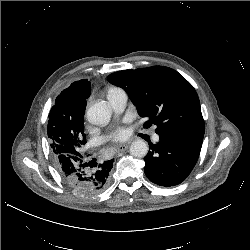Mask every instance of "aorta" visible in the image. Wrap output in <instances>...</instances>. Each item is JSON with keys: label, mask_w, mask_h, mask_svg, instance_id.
I'll return each mask as SVG.
<instances>
[{"label": "aorta", "mask_w": 250, "mask_h": 250, "mask_svg": "<svg viewBox=\"0 0 250 250\" xmlns=\"http://www.w3.org/2000/svg\"><path fill=\"white\" fill-rule=\"evenodd\" d=\"M86 117L93 125H104L111 117L110 106L105 101L96 102L87 109ZM129 152L134 157L143 158L148 153V145L143 140H135L130 145Z\"/></svg>", "instance_id": "1"}]
</instances>
